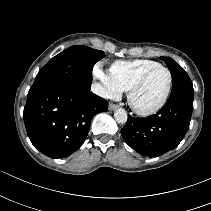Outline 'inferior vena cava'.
<instances>
[{
  "label": "inferior vena cava",
  "mask_w": 211,
  "mask_h": 211,
  "mask_svg": "<svg viewBox=\"0 0 211 211\" xmlns=\"http://www.w3.org/2000/svg\"><path fill=\"white\" fill-rule=\"evenodd\" d=\"M91 91L99 96L107 97L108 93L105 88L99 83H93L91 86Z\"/></svg>",
  "instance_id": "obj_1"
}]
</instances>
